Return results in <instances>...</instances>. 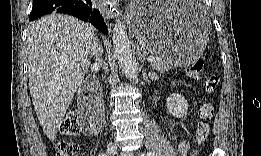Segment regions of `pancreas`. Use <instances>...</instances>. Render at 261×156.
Segmentation results:
<instances>
[{
    "label": "pancreas",
    "mask_w": 261,
    "mask_h": 156,
    "mask_svg": "<svg viewBox=\"0 0 261 156\" xmlns=\"http://www.w3.org/2000/svg\"><path fill=\"white\" fill-rule=\"evenodd\" d=\"M155 60H153L151 62V66L153 67V69L157 70V71H165L168 70L173 63L171 62V60H169L168 58L162 56V55H155Z\"/></svg>",
    "instance_id": "obj_1"
}]
</instances>
